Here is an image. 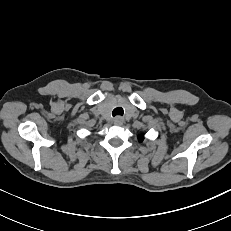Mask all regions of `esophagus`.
Listing matches in <instances>:
<instances>
[{
  "mask_svg": "<svg viewBox=\"0 0 231 231\" xmlns=\"http://www.w3.org/2000/svg\"><path fill=\"white\" fill-rule=\"evenodd\" d=\"M113 122H114L115 125L121 126V125H123L124 120H123L122 117L117 116V117L114 118Z\"/></svg>",
  "mask_w": 231,
  "mask_h": 231,
  "instance_id": "esophagus-1",
  "label": "esophagus"
}]
</instances>
